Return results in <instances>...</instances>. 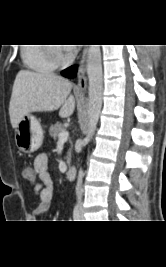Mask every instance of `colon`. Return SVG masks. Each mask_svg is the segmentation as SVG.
I'll return each instance as SVG.
<instances>
[{"label": "colon", "instance_id": "5ec220e1", "mask_svg": "<svg viewBox=\"0 0 166 267\" xmlns=\"http://www.w3.org/2000/svg\"><path fill=\"white\" fill-rule=\"evenodd\" d=\"M24 173H22V178H26V182H37V177H35V173H33V169L29 166L24 168Z\"/></svg>", "mask_w": 166, "mask_h": 267}]
</instances>
